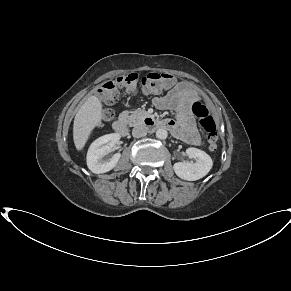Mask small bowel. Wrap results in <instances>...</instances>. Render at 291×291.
Returning <instances> with one entry per match:
<instances>
[{
    "label": "small bowel",
    "instance_id": "1",
    "mask_svg": "<svg viewBox=\"0 0 291 291\" xmlns=\"http://www.w3.org/2000/svg\"><path fill=\"white\" fill-rule=\"evenodd\" d=\"M191 83L187 81L177 82L169 92L153 100L154 105L160 110H175L178 113L176 120L167 119L165 123L173 135L184 142L199 146L202 138L197 130L190 106L199 99Z\"/></svg>",
    "mask_w": 291,
    "mask_h": 291
}]
</instances>
